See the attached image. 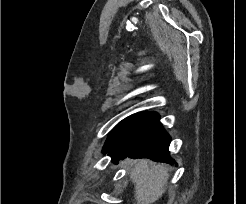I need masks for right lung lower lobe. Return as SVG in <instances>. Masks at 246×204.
<instances>
[{
  "label": "right lung lower lobe",
  "instance_id": "98d812e1",
  "mask_svg": "<svg viewBox=\"0 0 246 204\" xmlns=\"http://www.w3.org/2000/svg\"><path fill=\"white\" fill-rule=\"evenodd\" d=\"M159 118L155 112H141L126 118L108 152L112 162L118 163L128 156L176 164L168 151L171 138L163 129Z\"/></svg>",
  "mask_w": 246,
  "mask_h": 204
}]
</instances>
